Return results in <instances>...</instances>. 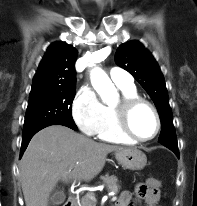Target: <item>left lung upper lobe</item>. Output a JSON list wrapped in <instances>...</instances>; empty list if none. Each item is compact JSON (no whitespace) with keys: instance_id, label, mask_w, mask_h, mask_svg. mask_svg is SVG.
Returning a JSON list of instances; mask_svg holds the SVG:
<instances>
[{"instance_id":"left-lung-upper-lobe-1","label":"left lung upper lobe","mask_w":197,"mask_h":206,"mask_svg":"<svg viewBox=\"0 0 197 206\" xmlns=\"http://www.w3.org/2000/svg\"><path fill=\"white\" fill-rule=\"evenodd\" d=\"M115 61L140 83L153 100L161 120L159 143L177 144L164 77L152 54L140 42L130 41L118 47Z\"/></svg>"}]
</instances>
